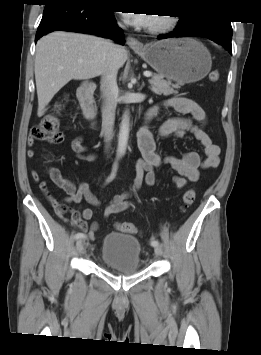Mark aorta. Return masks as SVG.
Returning a JSON list of instances; mask_svg holds the SVG:
<instances>
[{"label":"aorta","mask_w":261,"mask_h":355,"mask_svg":"<svg viewBox=\"0 0 261 355\" xmlns=\"http://www.w3.org/2000/svg\"><path fill=\"white\" fill-rule=\"evenodd\" d=\"M129 138V113L125 112L120 124L117 155L123 156L126 152L127 143Z\"/></svg>","instance_id":"762f6f07"}]
</instances>
